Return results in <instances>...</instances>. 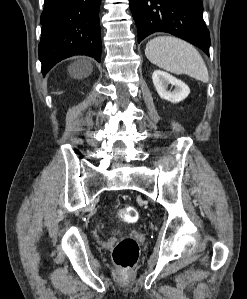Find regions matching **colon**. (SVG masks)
<instances>
[{
  "instance_id": "obj_1",
  "label": "colon",
  "mask_w": 247,
  "mask_h": 299,
  "mask_svg": "<svg viewBox=\"0 0 247 299\" xmlns=\"http://www.w3.org/2000/svg\"><path fill=\"white\" fill-rule=\"evenodd\" d=\"M119 218L126 223H134L138 219V211L135 207L126 205L120 208ZM139 245L134 238L125 237L117 242L113 249V260L123 270L131 269L137 262Z\"/></svg>"
}]
</instances>
